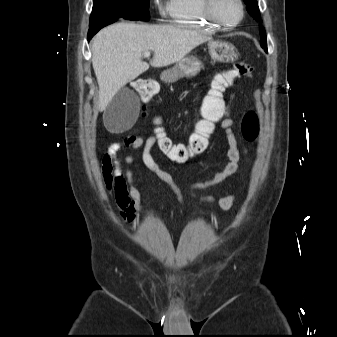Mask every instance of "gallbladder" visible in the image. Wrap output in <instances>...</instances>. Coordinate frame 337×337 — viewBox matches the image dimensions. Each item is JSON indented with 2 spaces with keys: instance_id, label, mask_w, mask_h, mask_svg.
Wrapping results in <instances>:
<instances>
[{
  "instance_id": "gallbladder-1",
  "label": "gallbladder",
  "mask_w": 337,
  "mask_h": 337,
  "mask_svg": "<svg viewBox=\"0 0 337 337\" xmlns=\"http://www.w3.org/2000/svg\"><path fill=\"white\" fill-rule=\"evenodd\" d=\"M140 101L134 91L122 88L113 97L103 114L105 127L111 132L129 129L137 120Z\"/></svg>"
}]
</instances>
